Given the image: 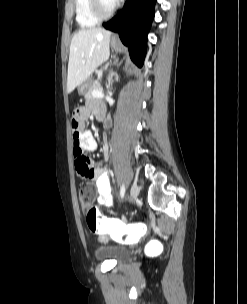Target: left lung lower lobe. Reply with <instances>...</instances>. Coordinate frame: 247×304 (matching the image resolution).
<instances>
[{"label": "left lung lower lobe", "mask_w": 247, "mask_h": 304, "mask_svg": "<svg viewBox=\"0 0 247 304\" xmlns=\"http://www.w3.org/2000/svg\"><path fill=\"white\" fill-rule=\"evenodd\" d=\"M156 0L127 2L114 18L103 24L104 28L118 32L121 41L128 46L131 59L139 67L143 65L147 34L154 18Z\"/></svg>", "instance_id": "obj_1"}]
</instances>
